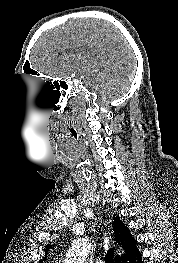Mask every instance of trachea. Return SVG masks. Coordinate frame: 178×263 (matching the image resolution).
<instances>
[{
  "instance_id": "1",
  "label": "trachea",
  "mask_w": 178,
  "mask_h": 263,
  "mask_svg": "<svg viewBox=\"0 0 178 263\" xmlns=\"http://www.w3.org/2000/svg\"><path fill=\"white\" fill-rule=\"evenodd\" d=\"M114 249L111 247L107 250L105 255V262L106 263H114Z\"/></svg>"
}]
</instances>
